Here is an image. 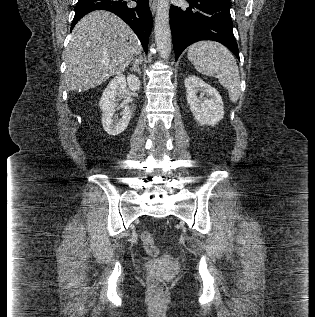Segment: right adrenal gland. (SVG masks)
Returning <instances> with one entry per match:
<instances>
[{
    "label": "right adrenal gland",
    "mask_w": 315,
    "mask_h": 317,
    "mask_svg": "<svg viewBox=\"0 0 315 317\" xmlns=\"http://www.w3.org/2000/svg\"><path fill=\"white\" fill-rule=\"evenodd\" d=\"M141 61L139 59H134L132 62V71L134 72H138L139 74H141V69H140V65Z\"/></svg>",
    "instance_id": "right-adrenal-gland-1"
}]
</instances>
